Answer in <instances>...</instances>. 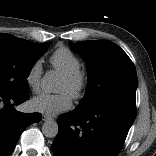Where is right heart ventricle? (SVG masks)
Masks as SVG:
<instances>
[{
    "instance_id": "1",
    "label": "right heart ventricle",
    "mask_w": 156,
    "mask_h": 156,
    "mask_svg": "<svg viewBox=\"0 0 156 156\" xmlns=\"http://www.w3.org/2000/svg\"><path fill=\"white\" fill-rule=\"evenodd\" d=\"M50 63L62 75L73 73L81 68L79 58L66 47L56 49L50 57Z\"/></svg>"
}]
</instances>
